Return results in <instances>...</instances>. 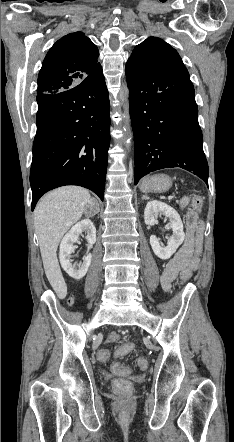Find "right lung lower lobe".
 <instances>
[{"instance_id":"obj_1","label":"right lung lower lobe","mask_w":234,"mask_h":442,"mask_svg":"<svg viewBox=\"0 0 234 442\" xmlns=\"http://www.w3.org/2000/svg\"><path fill=\"white\" fill-rule=\"evenodd\" d=\"M37 103L32 210L44 193L64 185L86 187L103 200L110 104L102 70L68 90L39 93Z\"/></svg>"}]
</instances>
